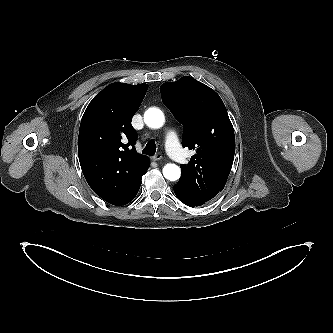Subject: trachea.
Instances as JSON below:
<instances>
[{"label":"trachea","instance_id":"3493384b","mask_svg":"<svg viewBox=\"0 0 333 333\" xmlns=\"http://www.w3.org/2000/svg\"><path fill=\"white\" fill-rule=\"evenodd\" d=\"M156 152V144L154 141H149L143 149V154L154 155Z\"/></svg>","mask_w":333,"mask_h":333}]
</instances>
